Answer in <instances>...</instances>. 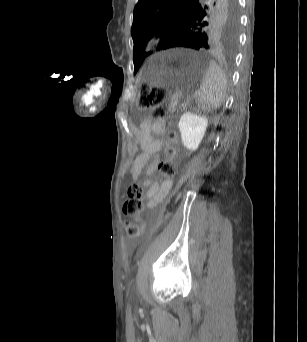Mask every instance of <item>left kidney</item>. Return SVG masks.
Returning <instances> with one entry per match:
<instances>
[{
  "mask_svg": "<svg viewBox=\"0 0 307 342\" xmlns=\"http://www.w3.org/2000/svg\"><path fill=\"white\" fill-rule=\"evenodd\" d=\"M208 120L205 116H197L191 112H185L178 124L183 146L187 150H197L206 132Z\"/></svg>",
  "mask_w": 307,
  "mask_h": 342,
  "instance_id": "left-kidney-1",
  "label": "left kidney"
}]
</instances>
